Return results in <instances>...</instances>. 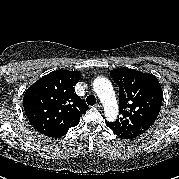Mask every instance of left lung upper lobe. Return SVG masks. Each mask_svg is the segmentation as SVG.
Here are the masks:
<instances>
[{"label": "left lung upper lobe", "mask_w": 179, "mask_h": 179, "mask_svg": "<svg viewBox=\"0 0 179 179\" xmlns=\"http://www.w3.org/2000/svg\"><path fill=\"white\" fill-rule=\"evenodd\" d=\"M110 75L120 87L119 117L106 125L120 138L133 139L155 122L163 100L161 85L154 75L128 68L113 69Z\"/></svg>", "instance_id": "obj_1"}]
</instances>
